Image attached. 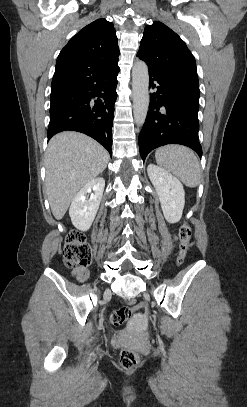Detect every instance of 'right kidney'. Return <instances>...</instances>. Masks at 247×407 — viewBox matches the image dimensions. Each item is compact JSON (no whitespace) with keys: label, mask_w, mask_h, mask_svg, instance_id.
Returning a JSON list of instances; mask_svg holds the SVG:
<instances>
[{"label":"right kidney","mask_w":247,"mask_h":407,"mask_svg":"<svg viewBox=\"0 0 247 407\" xmlns=\"http://www.w3.org/2000/svg\"><path fill=\"white\" fill-rule=\"evenodd\" d=\"M105 187L101 177L88 182L73 198L69 215L72 224L81 231H87L97 214ZM90 195V198H88Z\"/></svg>","instance_id":"ca27d5eb"}]
</instances>
